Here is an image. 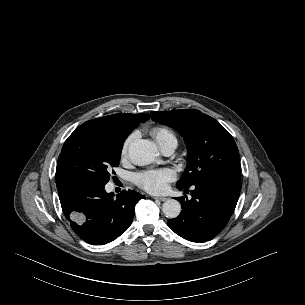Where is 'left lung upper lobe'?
I'll return each instance as SVG.
<instances>
[{
    "mask_svg": "<svg viewBox=\"0 0 305 305\" xmlns=\"http://www.w3.org/2000/svg\"><path fill=\"white\" fill-rule=\"evenodd\" d=\"M151 118L178 131L187 145V167L177 186L190 187L211 176L240 173L236 143L214 118L187 109L151 112Z\"/></svg>",
    "mask_w": 305,
    "mask_h": 305,
    "instance_id": "obj_1",
    "label": "left lung upper lobe"
}]
</instances>
